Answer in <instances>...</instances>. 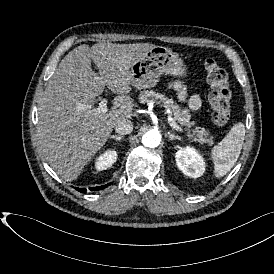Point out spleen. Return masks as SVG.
<instances>
[{
  "label": "spleen",
  "instance_id": "obj_1",
  "mask_svg": "<svg viewBox=\"0 0 274 274\" xmlns=\"http://www.w3.org/2000/svg\"><path fill=\"white\" fill-rule=\"evenodd\" d=\"M245 138V125L235 123L221 142L211 148L210 157L216 178L223 177L234 166L240 155Z\"/></svg>",
  "mask_w": 274,
  "mask_h": 274
}]
</instances>
